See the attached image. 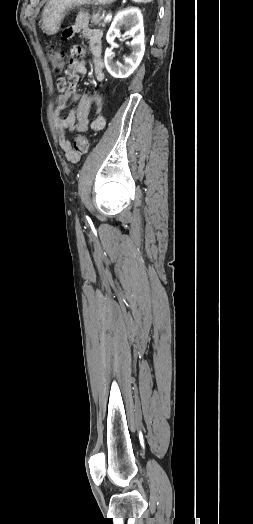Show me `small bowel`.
Returning <instances> with one entry per match:
<instances>
[{
  "instance_id": "obj_1",
  "label": "small bowel",
  "mask_w": 253,
  "mask_h": 524,
  "mask_svg": "<svg viewBox=\"0 0 253 524\" xmlns=\"http://www.w3.org/2000/svg\"><path fill=\"white\" fill-rule=\"evenodd\" d=\"M80 35L85 37L89 43V50L92 59V74L96 81L103 82L105 79L104 62L102 57V32L99 29L88 25L86 15L78 17L73 25ZM71 26H65L61 32L64 42H73L75 32ZM75 53L79 57H85L86 51L82 47H76ZM70 64L63 67L64 76L58 79L59 97L57 108L54 112V120L58 140L66 157L71 151V144L67 138L68 131H86L91 128L93 131H100L105 126V120L101 115L89 119L92 108L96 113L102 110V99L98 95L80 94L76 91L79 75L87 74L88 70L85 63L81 60L70 59ZM77 103L76 110H69L70 106ZM67 112L64 117L63 114ZM69 159V158H68Z\"/></svg>"
}]
</instances>
